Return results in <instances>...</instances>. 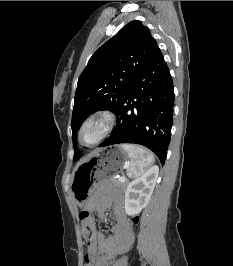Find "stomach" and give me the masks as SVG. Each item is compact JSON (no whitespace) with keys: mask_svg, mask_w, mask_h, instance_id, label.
I'll return each instance as SVG.
<instances>
[{"mask_svg":"<svg viewBox=\"0 0 233 266\" xmlns=\"http://www.w3.org/2000/svg\"><path fill=\"white\" fill-rule=\"evenodd\" d=\"M129 156L120 146L97 147L86 161L74 170L70 189L78 205L83 206L94 185H101V180H112L118 172H124Z\"/></svg>","mask_w":233,"mask_h":266,"instance_id":"1","label":"stomach"}]
</instances>
